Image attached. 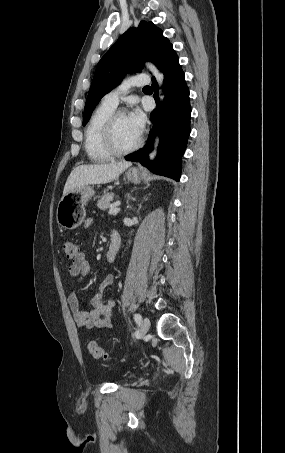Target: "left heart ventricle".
Returning a JSON list of instances; mask_svg holds the SVG:
<instances>
[{"instance_id":"b2bd125f","label":"left heart ventricle","mask_w":285,"mask_h":453,"mask_svg":"<svg viewBox=\"0 0 285 453\" xmlns=\"http://www.w3.org/2000/svg\"><path fill=\"white\" fill-rule=\"evenodd\" d=\"M141 133L131 122L128 115H122L115 125V138L120 148H127L137 142Z\"/></svg>"}]
</instances>
